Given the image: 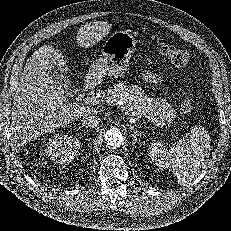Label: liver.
Instances as JSON below:
<instances>
[{
  "instance_id": "obj_1",
  "label": "liver",
  "mask_w": 231,
  "mask_h": 231,
  "mask_svg": "<svg viewBox=\"0 0 231 231\" xmlns=\"http://www.w3.org/2000/svg\"><path fill=\"white\" fill-rule=\"evenodd\" d=\"M112 25L97 21L79 28L77 44L92 46L109 33ZM67 59L50 45H43L27 60L15 92L11 112V140L15 147L36 139L56 128L79 120L86 113L97 111L88 106L71 102L54 83L48 70L57 65L68 72ZM64 67V68H62Z\"/></svg>"
}]
</instances>
